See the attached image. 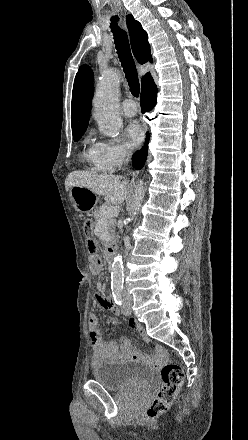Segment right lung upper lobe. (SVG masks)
Masks as SVG:
<instances>
[{
    "label": "right lung upper lobe",
    "mask_w": 248,
    "mask_h": 440,
    "mask_svg": "<svg viewBox=\"0 0 248 440\" xmlns=\"http://www.w3.org/2000/svg\"><path fill=\"white\" fill-rule=\"evenodd\" d=\"M126 22L134 56L141 64L147 61L152 62L147 33L132 15H127ZM150 79L152 76L150 73H146L141 80L142 87ZM93 89V72L88 66L83 65L76 74L72 92L71 125L73 132L86 130L88 126Z\"/></svg>",
    "instance_id": "cb5924a9"
}]
</instances>
